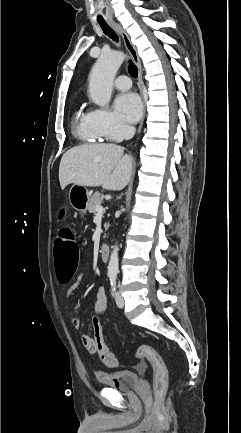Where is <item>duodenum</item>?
Returning a JSON list of instances; mask_svg holds the SVG:
<instances>
[{"instance_id": "obj_1", "label": "duodenum", "mask_w": 241, "mask_h": 433, "mask_svg": "<svg viewBox=\"0 0 241 433\" xmlns=\"http://www.w3.org/2000/svg\"><path fill=\"white\" fill-rule=\"evenodd\" d=\"M110 255V245L107 243H103L100 246V256L102 261H107Z\"/></svg>"}]
</instances>
